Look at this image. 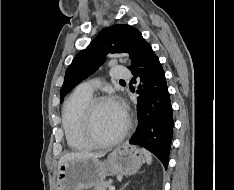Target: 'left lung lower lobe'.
I'll return each mask as SVG.
<instances>
[{"instance_id":"1","label":"left lung lower lobe","mask_w":234,"mask_h":190,"mask_svg":"<svg viewBox=\"0 0 234 190\" xmlns=\"http://www.w3.org/2000/svg\"><path fill=\"white\" fill-rule=\"evenodd\" d=\"M131 71L141 77L143 84L137 90L139 122L129 143L152 152L167 169L173 137V110L165 72L149 43L138 51Z\"/></svg>"}]
</instances>
